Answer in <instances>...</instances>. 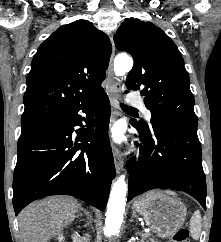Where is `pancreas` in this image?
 <instances>
[{
    "label": "pancreas",
    "mask_w": 221,
    "mask_h": 242,
    "mask_svg": "<svg viewBox=\"0 0 221 242\" xmlns=\"http://www.w3.org/2000/svg\"><path fill=\"white\" fill-rule=\"evenodd\" d=\"M141 242H158V241L154 240L153 238H149L147 241L142 240Z\"/></svg>",
    "instance_id": "1"
}]
</instances>
